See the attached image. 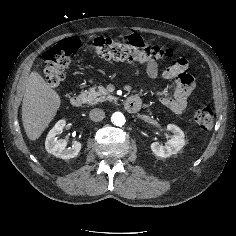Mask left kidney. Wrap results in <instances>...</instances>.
Returning a JSON list of instances; mask_svg holds the SVG:
<instances>
[{
  "instance_id": "left-kidney-1",
  "label": "left kidney",
  "mask_w": 236,
  "mask_h": 236,
  "mask_svg": "<svg viewBox=\"0 0 236 236\" xmlns=\"http://www.w3.org/2000/svg\"><path fill=\"white\" fill-rule=\"evenodd\" d=\"M167 129L173 133V137L165 145H161L158 142L151 144L152 152L161 158L178 153L186 144L184 132L178 126L168 124Z\"/></svg>"
}]
</instances>
